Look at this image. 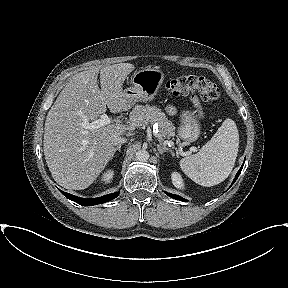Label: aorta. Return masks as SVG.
I'll return each instance as SVG.
<instances>
[{"label":"aorta","mask_w":288,"mask_h":288,"mask_svg":"<svg viewBox=\"0 0 288 288\" xmlns=\"http://www.w3.org/2000/svg\"><path fill=\"white\" fill-rule=\"evenodd\" d=\"M135 157L140 162H147L149 157H150V155H149L148 151L142 149V150H138L136 152V156Z\"/></svg>","instance_id":"1"}]
</instances>
